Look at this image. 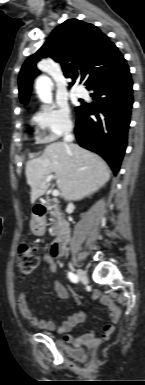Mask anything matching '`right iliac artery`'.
Returning a JSON list of instances; mask_svg holds the SVG:
<instances>
[{
	"mask_svg": "<svg viewBox=\"0 0 145 385\" xmlns=\"http://www.w3.org/2000/svg\"><path fill=\"white\" fill-rule=\"evenodd\" d=\"M68 277H69L70 281L73 283H77L79 281L78 276L72 272H68Z\"/></svg>",
	"mask_w": 145,
	"mask_h": 385,
	"instance_id": "right-iliac-artery-1",
	"label": "right iliac artery"
}]
</instances>
